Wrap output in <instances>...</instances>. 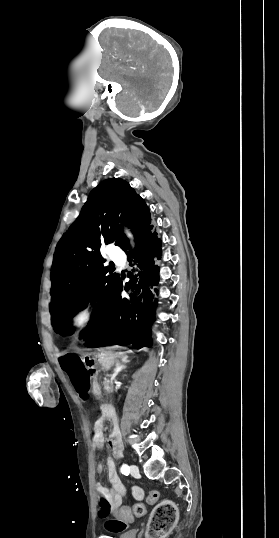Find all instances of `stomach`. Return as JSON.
I'll use <instances>...</instances> for the list:
<instances>
[{
    "label": "stomach",
    "instance_id": "stomach-1",
    "mask_svg": "<svg viewBox=\"0 0 279 538\" xmlns=\"http://www.w3.org/2000/svg\"><path fill=\"white\" fill-rule=\"evenodd\" d=\"M121 358H126L125 352H103L97 354V363L100 364L102 370H110L114 364H118ZM104 389L102 384L93 386V393L98 395L100 391ZM100 397H103V394H100Z\"/></svg>",
    "mask_w": 279,
    "mask_h": 538
}]
</instances>
